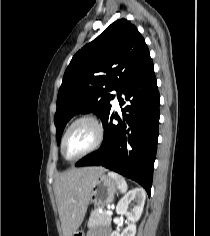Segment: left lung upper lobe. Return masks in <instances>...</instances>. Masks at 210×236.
<instances>
[{
    "label": "left lung upper lobe",
    "mask_w": 210,
    "mask_h": 236,
    "mask_svg": "<svg viewBox=\"0 0 210 236\" xmlns=\"http://www.w3.org/2000/svg\"><path fill=\"white\" fill-rule=\"evenodd\" d=\"M151 60L144 38L125 19L113 22L85 45L67 67L57 97L54 117L58 144L66 123L78 113L94 112L103 122L119 92Z\"/></svg>",
    "instance_id": "left-lung-upper-lobe-1"
}]
</instances>
